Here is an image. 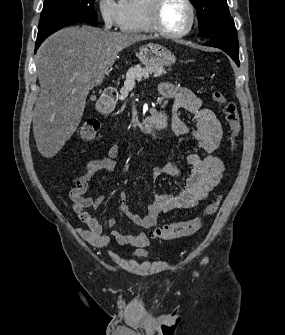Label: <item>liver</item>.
Returning <instances> with one entry per match:
<instances>
[{"mask_svg": "<svg viewBox=\"0 0 285 335\" xmlns=\"http://www.w3.org/2000/svg\"><path fill=\"white\" fill-rule=\"evenodd\" d=\"M152 38L71 26L43 42L36 54L41 92L33 112V134L41 156L53 158L74 134L90 90L103 84L119 52Z\"/></svg>", "mask_w": 285, "mask_h": 335, "instance_id": "6515ba94", "label": "liver"}]
</instances>
